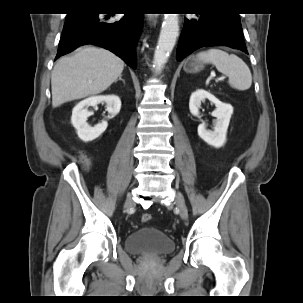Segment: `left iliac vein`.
<instances>
[{
  "mask_svg": "<svg viewBox=\"0 0 303 303\" xmlns=\"http://www.w3.org/2000/svg\"><path fill=\"white\" fill-rule=\"evenodd\" d=\"M175 204L179 209L180 217L183 220H186L188 218V211L185 205L184 196L180 192H176L175 195Z\"/></svg>",
  "mask_w": 303,
  "mask_h": 303,
  "instance_id": "1",
  "label": "left iliac vein"
}]
</instances>
